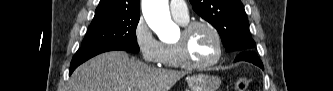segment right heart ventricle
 <instances>
[{"instance_id":"e07e8e85","label":"right heart ventricle","mask_w":333,"mask_h":91,"mask_svg":"<svg viewBox=\"0 0 333 91\" xmlns=\"http://www.w3.org/2000/svg\"><path fill=\"white\" fill-rule=\"evenodd\" d=\"M177 20V19H176ZM180 24H185L187 21L177 20ZM163 55L161 64L167 67H179L181 66L177 59V51L175 44L163 43Z\"/></svg>"}]
</instances>
